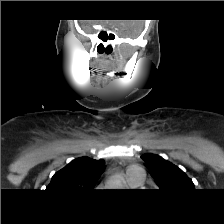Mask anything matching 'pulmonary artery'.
Instances as JSON below:
<instances>
[{
	"mask_svg": "<svg viewBox=\"0 0 224 224\" xmlns=\"http://www.w3.org/2000/svg\"><path fill=\"white\" fill-rule=\"evenodd\" d=\"M127 181L133 186H140L143 183V172L137 167H130L127 170Z\"/></svg>",
	"mask_w": 224,
	"mask_h": 224,
	"instance_id": "obj_1",
	"label": "pulmonary artery"
}]
</instances>
